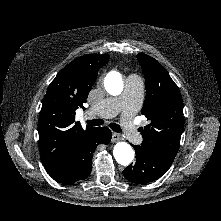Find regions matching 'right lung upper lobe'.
Here are the masks:
<instances>
[{
  "label": "right lung upper lobe",
  "instance_id": "cb5924a9",
  "mask_svg": "<svg viewBox=\"0 0 221 221\" xmlns=\"http://www.w3.org/2000/svg\"><path fill=\"white\" fill-rule=\"evenodd\" d=\"M109 55L88 54L76 58L64 67L49 85L38 121L39 148L42 163L54 179L65 169L69 155L86 132L75 121V111L83 108L96 81L98 70Z\"/></svg>",
  "mask_w": 221,
  "mask_h": 221
}]
</instances>
